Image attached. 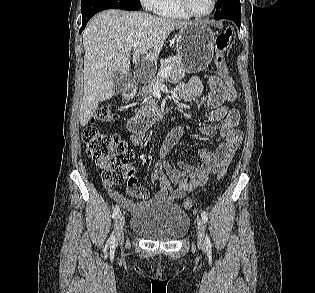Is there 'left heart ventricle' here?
I'll return each mask as SVG.
<instances>
[{
    "label": "left heart ventricle",
    "mask_w": 315,
    "mask_h": 293,
    "mask_svg": "<svg viewBox=\"0 0 315 293\" xmlns=\"http://www.w3.org/2000/svg\"><path fill=\"white\" fill-rule=\"evenodd\" d=\"M192 10L198 14L208 12L212 6V0H189Z\"/></svg>",
    "instance_id": "left-heart-ventricle-1"
}]
</instances>
